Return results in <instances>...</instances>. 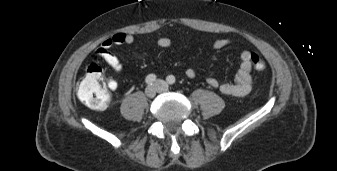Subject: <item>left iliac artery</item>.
<instances>
[{
    "instance_id": "1",
    "label": "left iliac artery",
    "mask_w": 337,
    "mask_h": 171,
    "mask_svg": "<svg viewBox=\"0 0 337 171\" xmlns=\"http://www.w3.org/2000/svg\"><path fill=\"white\" fill-rule=\"evenodd\" d=\"M166 80L171 85L175 83V77L173 75H169Z\"/></svg>"
}]
</instances>
